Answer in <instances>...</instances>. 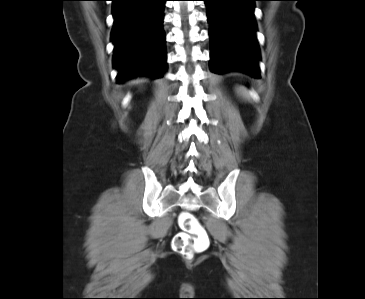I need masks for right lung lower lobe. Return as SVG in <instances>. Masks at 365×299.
Segmentation results:
<instances>
[{
    "mask_svg": "<svg viewBox=\"0 0 365 299\" xmlns=\"http://www.w3.org/2000/svg\"><path fill=\"white\" fill-rule=\"evenodd\" d=\"M114 67L117 82L138 75L162 77L166 69L162 30L166 0H112Z\"/></svg>",
    "mask_w": 365,
    "mask_h": 299,
    "instance_id": "obj_1",
    "label": "right lung lower lobe"
}]
</instances>
